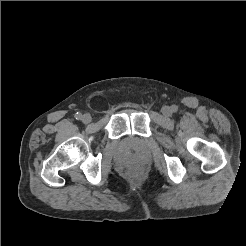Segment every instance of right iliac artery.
Wrapping results in <instances>:
<instances>
[{
  "mask_svg": "<svg viewBox=\"0 0 246 246\" xmlns=\"http://www.w3.org/2000/svg\"><path fill=\"white\" fill-rule=\"evenodd\" d=\"M75 118H76L77 120H81V119H82V114L77 112V113L75 114Z\"/></svg>",
  "mask_w": 246,
  "mask_h": 246,
  "instance_id": "1",
  "label": "right iliac artery"
}]
</instances>
